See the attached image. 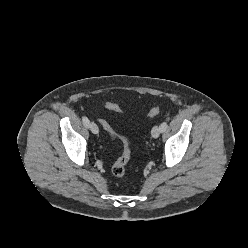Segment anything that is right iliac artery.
Masks as SVG:
<instances>
[{"label":"right iliac artery","mask_w":248,"mask_h":248,"mask_svg":"<svg viewBox=\"0 0 248 248\" xmlns=\"http://www.w3.org/2000/svg\"><path fill=\"white\" fill-rule=\"evenodd\" d=\"M82 122H83V124H84L85 127H87V128L89 127L90 121H89V119L87 117L84 116L82 118Z\"/></svg>","instance_id":"right-iliac-artery-1"}]
</instances>
